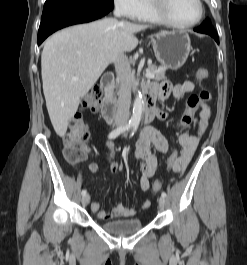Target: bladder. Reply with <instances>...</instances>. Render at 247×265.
<instances>
[{
    "label": "bladder",
    "mask_w": 247,
    "mask_h": 265,
    "mask_svg": "<svg viewBox=\"0 0 247 265\" xmlns=\"http://www.w3.org/2000/svg\"><path fill=\"white\" fill-rule=\"evenodd\" d=\"M101 227L115 236H127L133 234L143 227L140 219H121L102 223Z\"/></svg>",
    "instance_id": "1"
}]
</instances>
